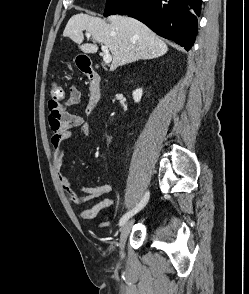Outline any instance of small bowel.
I'll use <instances>...</instances> for the list:
<instances>
[{
  "label": "small bowel",
  "instance_id": "c3829d8e",
  "mask_svg": "<svg viewBox=\"0 0 249 294\" xmlns=\"http://www.w3.org/2000/svg\"><path fill=\"white\" fill-rule=\"evenodd\" d=\"M81 92L75 85L69 87V94L62 103L54 104L49 102V124L53 134L50 139L52 149V161L57 175L58 182L68 199L73 205H83L92 200L104 196L111 192L112 187L106 183L100 186L81 185L79 188L83 194L74 191V183L63 173V156L65 140L78 135L89 136L91 132L90 125L77 114L67 111L68 107L74 106L80 102ZM119 197H106L95 203L89 208L79 212L80 218L89 221L95 219L106 209L117 206ZM111 224V218L105 217L99 224V228H107Z\"/></svg>",
  "mask_w": 249,
  "mask_h": 294
}]
</instances>
